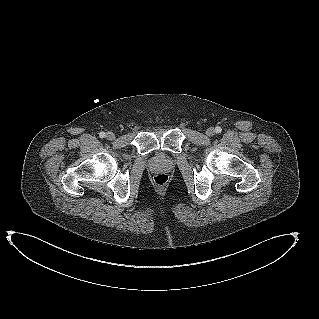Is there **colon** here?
<instances>
[{
    "mask_svg": "<svg viewBox=\"0 0 319 319\" xmlns=\"http://www.w3.org/2000/svg\"><path fill=\"white\" fill-rule=\"evenodd\" d=\"M154 183L157 186H165L169 181V176L166 173H158L154 176Z\"/></svg>",
    "mask_w": 319,
    "mask_h": 319,
    "instance_id": "1",
    "label": "colon"
}]
</instances>
